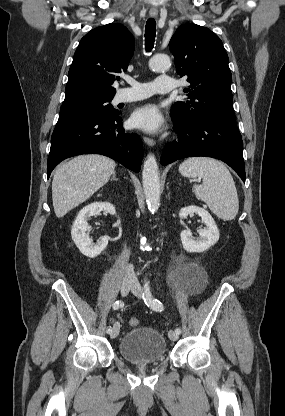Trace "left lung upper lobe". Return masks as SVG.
Listing matches in <instances>:
<instances>
[{
  "label": "left lung upper lobe",
  "instance_id": "obj_1",
  "mask_svg": "<svg viewBox=\"0 0 285 416\" xmlns=\"http://www.w3.org/2000/svg\"><path fill=\"white\" fill-rule=\"evenodd\" d=\"M169 48L174 55L176 71L187 76L185 101L171 109L175 125H189L212 115H234L231 72L228 55L220 38L210 29L184 24L174 33Z\"/></svg>",
  "mask_w": 285,
  "mask_h": 416
}]
</instances>
